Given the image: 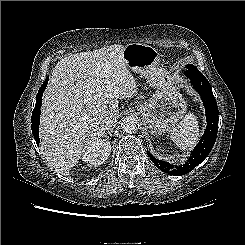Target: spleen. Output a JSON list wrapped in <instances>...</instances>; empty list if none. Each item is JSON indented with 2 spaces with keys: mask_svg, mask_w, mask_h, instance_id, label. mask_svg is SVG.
Wrapping results in <instances>:
<instances>
[{
  "mask_svg": "<svg viewBox=\"0 0 245 245\" xmlns=\"http://www.w3.org/2000/svg\"><path fill=\"white\" fill-rule=\"evenodd\" d=\"M171 140L177 147L188 149L193 147L199 138V128L196 116L188 113L182 121L172 130Z\"/></svg>",
  "mask_w": 245,
  "mask_h": 245,
  "instance_id": "spleen-1",
  "label": "spleen"
}]
</instances>
